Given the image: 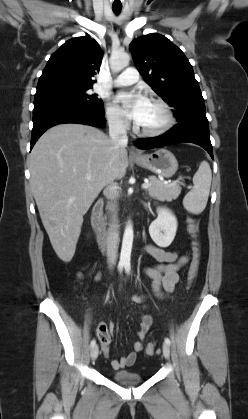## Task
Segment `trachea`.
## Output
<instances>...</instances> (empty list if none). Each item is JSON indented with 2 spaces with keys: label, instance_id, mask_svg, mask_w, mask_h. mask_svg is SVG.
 Segmentation results:
<instances>
[{
  "label": "trachea",
  "instance_id": "1",
  "mask_svg": "<svg viewBox=\"0 0 248 419\" xmlns=\"http://www.w3.org/2000/svg\"><path fill=\"white\" fill-rule=\"evenodd\" d=\"M112 9L115 14H119L122 10V6H112Z\"/></svg>",
  "mask_w": 248,
  "mask_h": 419
}]
</instances>
